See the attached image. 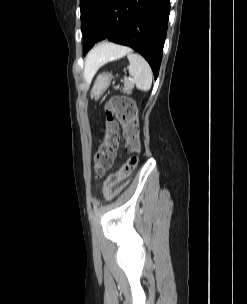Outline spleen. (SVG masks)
<instances>
[{
  "label": "spleen",
  "mask_w": 247,
  "mask_h": 304,
  "mask_svg": "<svg viewBox=\"0 0 247 304\" xmlns=\"http://www.w3.org/2000/svg\"><path fill=\"white\" fill-rule=\"evenodd\" d=\"M126 54L130 63L129 74L133 76L136 87L141 91H148L152 85V70L141 55L127 50L121 52L118 56H112L110 60L120 58Z\"/></svg>",
  "instance_id": "3e777b00"
}]
</instances>
